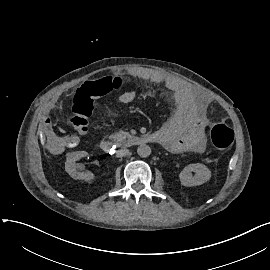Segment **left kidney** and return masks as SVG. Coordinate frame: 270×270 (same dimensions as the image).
<instances>
[{
	"mask_svg": "<svg viewBox=\"0 0 270 270\" xmlns=\"http://www.w3.org/2000/svg\"><path fill=\"white\" fill-rule=\"evenodd\" d=\"M190 171H195L197 175L192 176L189 173ZM210 178L211 170L202 163L189 164L179 174L181 185L186 187L202 185L203 183H206Z\"/></svg>",
	"mask_w": 270,
	"mask_h": 270,
	"instance_id": "obj_1",
	"label": "left kidney"
}]
</instances>
